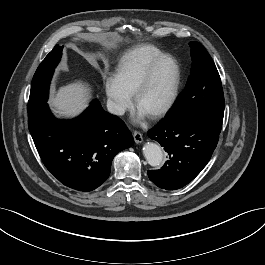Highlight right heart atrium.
Wrapping results in <instances>:
<instances>
[{
    "label": "right heart atrium",
    "instance_id": "d8ad5b80",
    "mask_svg": "<svg viewBox=\"0 0 265 265\" xmlns=\"http://www.w3.org/2000/svg\"><path fill=\"white\" fill-rule=\"evenodd\" d=\"M105 92L112 112L121 115L130 106L131 99L116 84L113 77H108L105 81Z\"/></svg>",
    "mask_w": 265,
    "mask_h": 265
}]
</instances>
